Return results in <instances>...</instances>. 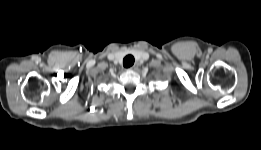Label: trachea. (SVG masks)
I'll list each match as a JSON object with an SVG mask.
<instances>
[{
    "instance_id": "obj_1",
    "label": "trachea",
    "mask_w": 261,
    "mask_h": 150,
    "mask_svg": "<svg viewBox=\"0 0 261 150\" xmlns=\"http://www.w3.org/2000/svg\"><path fill=\"white\" fill-rule=\"evenodd\" d=\"M134 64V57L132 55L125 56L123 60L124 67L128 68Z\"/></svg>"
}]
</instances>
